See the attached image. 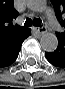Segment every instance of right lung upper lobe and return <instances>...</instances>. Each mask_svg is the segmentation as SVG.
Instances as JSON below:
<instances>
[{
  "label": "right lung upper lobe",
  "mask_w": 65,
  "mask_h": 89,
  "mask_svg": "<svg viewBox=\"0 0 65 89\" xmlns=\"http://www.w3.org/2000/svg\"><path fill=\"white\" fill-rule=\"evenodd\" d=\"M18 14L13 6V0H0V40L18 36L29 29L12 24V20Z\"/></svg>",
  "instance_id": "cb5924a9"
}]
</instances>
